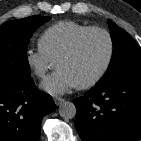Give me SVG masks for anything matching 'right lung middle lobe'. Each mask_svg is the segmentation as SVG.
I'll return each mask as SVG.
<instances>
[{
  "instance_id": "dd1d6c3e",
  "label": "right lung middle lobe",
  "mask_w": 141,
  "mask_h": 141,
  "mask_svg": "<svg viewBox=\"0 0 141 141\" xmlns=\"http://www.w3.org/2000/svg\"><path fill=\"white\" fill-rule=\"evenodd\" d=\"M50 17L29 16L0 26V79L30 76L27 46L33 32Z\"/></svg>"
}]
</instances>
